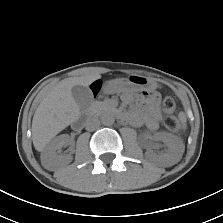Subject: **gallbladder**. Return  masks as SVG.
Listing matches in <instances>:
<instances>
[{
	"label": "gallbladder",
	"instance_id": "bac80fb5",
	"mask_svg": "<svg viewBox=\"0 0 223 223\" xmlns=\"http://www.w3.org/2000/svg\"><path fill=\"white\" fill-rule=\"evenodd\" d=\"M71 94L80 108H85L92 102L93 96L91 90L82 85H75L71 89Z\"/></svg>",
	"mask_w": 223,
	"mask_h": 223
}]
</instances>
